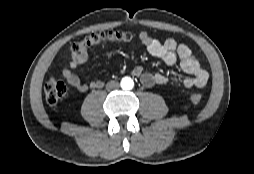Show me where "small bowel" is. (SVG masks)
Instances as JSON below:
<instances>
[{"mask_svg": "<svg viewBox=\"0 0 254 174\" xmlns=\"http://www.w3.org/2000/svg\"><path fill=\"white\" fill-rule=\"evenodd\" d=\"M139 40L150 55L166 65L172 66L179 62L180 70L185 75L184 77L167 76L162 73L146 72L142 67L136 66L133 68L132 73L140 79L145 87L163 85L170 81L178 82L186 89L202 88L207 84L209 80L208 72L203 68L187 45L178 43L171 38L162 42L153 38L145 31L140 32ZM88 58L89 54L87 50L73 52L69 61V67L64 68L62 71L63 76L68 80L70 85L79 91L99 89L103 86V82L100 80H91L88 83H84L74 72L77 67L85 64Z\"/></svg>", "mask_w": 254, "mask_h": 174, "instance_id": "obj_1", "label": "small bowel"}]
</instances>
